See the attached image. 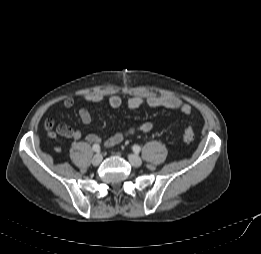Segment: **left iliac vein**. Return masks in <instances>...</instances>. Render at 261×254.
I'll list each match as a JSON object with an SVG mask.
<instances>
[{
	"mask_svg": "<svg viewBox=\"0 0 261 254\" xmlns=\"http://www.w3.org/2000/svg\"><path fill=\"white\" fill-rule=\"evenodd\" d=\"M128 160L134 167H140L142 165V160L136 154H129Z\"/></svg>",
	"mask_w": 261,
	"mask_h": 254,
	"instance_id": "obj_1",
	"label": "left iliac vein"
}]
</instances>
